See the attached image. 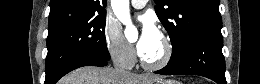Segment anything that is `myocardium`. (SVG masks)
<instances>
[{
    "label": "myocardium",
    "instance_id": "1",
    "mask_svg": "<svg viewBox=\"0 0 260 84\" xmlns=\"http://www.w3.org/2000/svg\"><path fill=\"white\" fill-rule=\"evenodd\" d=\"M161 41L163 43V55L162 57L155 61V62H149L146 61L141 55L139 56V60L141 63V66L147 70H161L168 66L170 63L172 56H173V44L171 39L166 33H161L160 35Z\"/></svg>",
    "mask_w": 260,
    "mask_h": 84
}]
</instances>
